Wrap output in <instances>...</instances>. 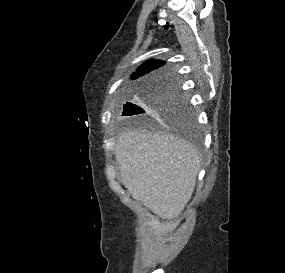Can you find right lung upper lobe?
I'll use <instances>...</instances> for the list:
<instances>
[{
    "instance_id": "right-lung-upper-lobe-1",
    "label": "right lung upper lobe",
    "mask_w": 285,
    "mask_h": 273,
    "mask_svg": "<svg viewBox=\"0 0 285 273\" xmlns=\"http://www.w3.org/2000/svg\"><path fill=\"white\" fill-rule=\"evenodd\" d=\"M164 64H165L164 61H159V60L148 61V62L144 63L141 67H139L137 69V71L132 74L131 78L137 79V78L145 76V75L147 76L148 74H150V72H153L154 70H158V72H156L157 74L152 75L150 77H146V79H145L146 81L150 80L151 78H153L155 76L167 74L166 71L159 69Z\"/></svg>"
}]
</instances>
